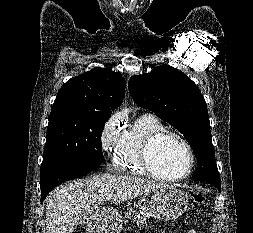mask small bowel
<instances>
[{
  "instance_id": "obj_1",
  "label": "small bowel",
  "mask_w": 253,
  "mask_h": 233,
  "mask_svg": "<svg viewBox=\"0 0 253 233\" xmlns=\"http://www.w3.org/2000/svg\"><path fill=\"white\" fill-rule=\"evenodd\" d=\"M188 233H196V231L190 230V231H188Z\"/></svg>"
}]
</instances>
